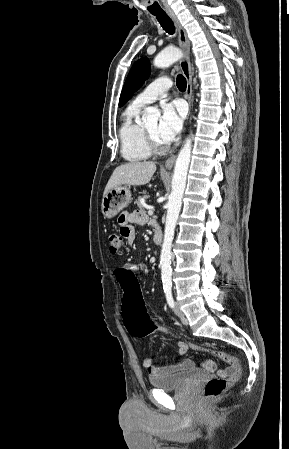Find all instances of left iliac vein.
<instances>
[{
	"label": "left iliac vein",
	"mask_w": 289,
	"mask_h": 449,
	"mask_svg": "<svg viewBox=\"0 0 289 449\" xmlns=\"http://www.w3.org/2000/svg\"><path fill=\"white\" fill-rule=\"evenodd\" d=\"M174 313L181 319L184 325H188V320L186 319L183 311L180 309V306L178 304H175L174 306Z\"/></svg>",
	"instance_id": "left-iliac-vein-1"
}]
</instances>
